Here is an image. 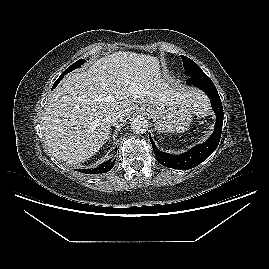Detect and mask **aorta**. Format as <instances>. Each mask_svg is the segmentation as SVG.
Instances as JSON below:
<instances>
[{"label": "aorta", "mask_w": 269, "mask_h": 269, "mask_svg": "<svg viewBox=\"0 0 269 269\" xmlns=\"http://www.w3.org/2000/svg\"><path fill=\"white\" fill-rule=\"evenodd\" d=\"M131 129L136 134H143L148 129V121L146 118L137 116L131 122Z\"/></svg>", "instance_id": "obj_1"}]
</instances>
